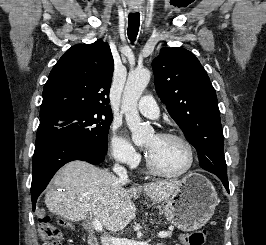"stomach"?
<instances>
[{"instance_id":"obj_1","label":"stomach","mask_w":266,"mask_h":245,"mask_svg":"<svg viewBox=\"0 0 266 245\" xmlns=\"http://www.w3.org/2000/svg\"><path fill=\"white\" fill-rule=\"evenodd\" d=\"M217 205V193L209 179L189 173L167 201H159L157 209L177 229L197 231L210 221Z\"/></svg>"}]
</instances>
